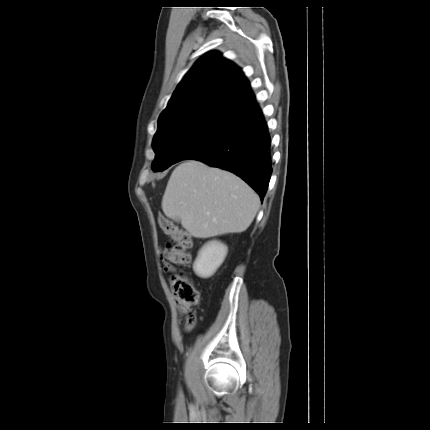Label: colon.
I'll return each mask as SVG.
<instances>
[{"mask_svg": "<svg viewBox=\"0 0 430 430\" xmlns=\"http://www.w3.org/2000/svg\"><path fill=\"white\" fill-rule=\"evenodd\" d=\"M158 222L162 231L171 237L173 241L164 248V259L178 265L185 266L189 264L191 259L189 250L193 246L191 236L187 232L180 230L165 216H160ZM170 282L179 309L185 316V327L190 330L193 328L196 320L193 307L199 302V291L189 276L183 272L173 274Z\"/></svg>", "mask_w": 430, "mask_h": 430, "instance_id": "5ec220e1", "label": "colon"}]
</instances>
